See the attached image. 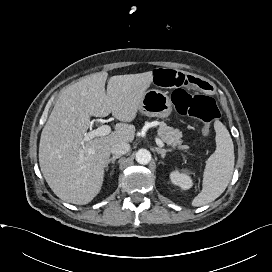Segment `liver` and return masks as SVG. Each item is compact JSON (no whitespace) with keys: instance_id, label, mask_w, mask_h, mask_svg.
Returning a JSON list of instances; mask_svg holds the SVG:
<instances>
[{"instance_id":"liver-1","label":"liver","mask_w":272,"mask_h":272,"mask_svg":"<svg viewBox=\"0 0 272 272\" xmlns=\"http://www.w3.org/2000/svg\"><path fill=\"white\" fill-rule=\"evenodd\" d=\"M107 72L88 75L60 94L43 130L39 144L41 172L54 194L77 205L91 202L100 192L110 148L132 142L142 98L153 72L116 75L105 82ZM110 113L119 121L107 135L83 141L90 117Z\"/></svg>"}]
</instances>
